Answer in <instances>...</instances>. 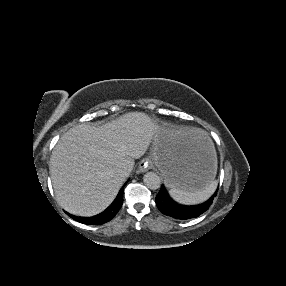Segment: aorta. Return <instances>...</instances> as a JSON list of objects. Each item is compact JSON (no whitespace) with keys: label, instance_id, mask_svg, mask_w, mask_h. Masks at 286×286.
Segmentation results:
<instances>
[{"label":"aorta","instance_id":"obj_1","mask_svg":"<svg viewBox=\"0 0 286 286\" xmlns=\"http://www.w3.org/2000/svg\"><path fill=\"white\" fill-rule=\"evenodd\" d=\"M144 184L151 190H157L161 186L160 177L154 172H147L143 177Z\"/></svg>","mask_w":286,"mask_h":286}]
</instances>
